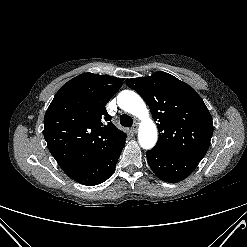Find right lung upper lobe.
Returning <instances> with one entry per match:
<instances>
[{"instance_id": "obj_1", "label": "right lung upper lobe", "mask_w": 247, "mask_h": 247, "mask_svg": "<svg viewBox=\"0 0 247 247\" xmlns=\"http://www.w3.org/2000/svg\"><path fill=\"white\" fill-rule=\"evenodd\" d=\"M116 77L85 73L65 83L44 117V138L62 170L81 175L126 139L110 121L105 104L121 88Z\"/></svg>"}]
</instances>
